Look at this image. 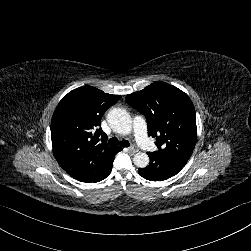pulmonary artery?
<instances>
[{
  "instance_id": "1",
  "label": "pulmonary artery",
  "mask_w": 251,
  "mask_h": 251,
  "mask_svg": "<svg viewBox=\"0 0 251 251\" xmlns=\"http://www.w3.org/2000/svg\"><path fill=\"white\" fill-rule=\"evenodd\" d=\"M133 130L135 139L138 141V146L144 151L150 152L153 149V145L150 142H147L149 135L145 132L144 121L141 118H138L133 123Z\"/></svg>"
}]
</instances>
